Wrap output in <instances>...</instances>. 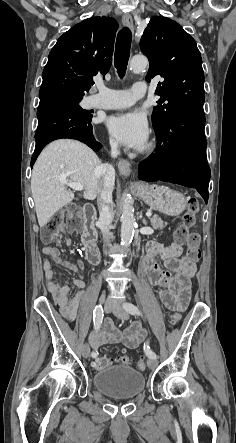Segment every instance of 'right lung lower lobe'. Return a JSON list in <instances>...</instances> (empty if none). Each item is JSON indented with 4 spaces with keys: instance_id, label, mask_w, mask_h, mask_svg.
I'll return each instance as SVG.
<instances>
[{
    "instance_id": "right-lung-lower-lobe-1",
    "label": "right lung lower lobe",
    "mask_w": 236,
    "mask_h": 443,
    "mask_svg": "<svg viewBox=\"0 0 236 443\" xmlns=\"http://www.w3.org/2000/svg\"><path fill=\"white\" fill-rule=\"evenodd\" d=\"M37 117L36 147L31 159V166L42 149L56 139H76L95 151L102 147L93 135L92 115L81 114L73 104L56 95L40 98Z\"/></svg>"
}]
</instances>
